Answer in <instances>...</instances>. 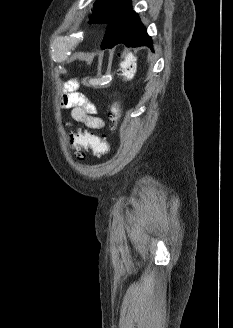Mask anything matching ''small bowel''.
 Returning a JSON list of instances; mask_svg holds the SVG:
<instances>
[{"instance_id":"small-bowel-1","label":"small bowel","mask_w":233,"mask_h":328,"mask_svg":"<svg viewBox=\"0 0 233 328\" xmlns=\"http://www.w3.org/2000/svg\"><path fill=\"white\" fill-rule=\"evenodd\" d=\"M78 82L71 80L64 86V95L62 97V106L72 109V118L83 123L91 129H102L105 122L102 118L96 116V106L89 101L83 94L78 92Z\"/></svg>"}]
</instances>
